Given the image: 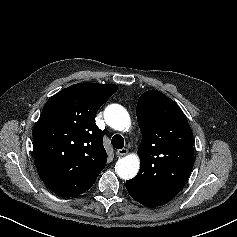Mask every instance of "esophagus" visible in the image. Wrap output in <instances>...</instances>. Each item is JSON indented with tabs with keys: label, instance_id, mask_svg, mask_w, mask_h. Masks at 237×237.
<instances>
[{
	"label": "esophagus",
	"instance_id": "34e87169",
	"mask_svg": "<svg viewBox=\"0 0 237 237\" xmlns=\"http://www.w3.org/2000/svg\"><path fill=\"white\" fill-rule=\"evenodd\" d=\"M127 153H128V149H126V148H122V149H119V150L116 151V154H117L118 156H124V155H126Z\"/></svg>",
	"mask_w": 237,
	"mask_h": 237
}]
</instances>
